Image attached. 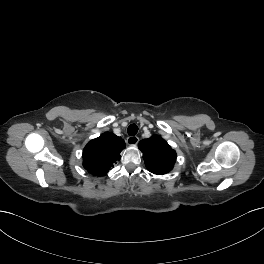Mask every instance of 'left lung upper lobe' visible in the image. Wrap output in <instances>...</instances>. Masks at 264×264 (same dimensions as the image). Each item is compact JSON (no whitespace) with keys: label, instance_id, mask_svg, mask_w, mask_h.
Masks as SVG:
<instances>
[{"label":"left lung upper lobe","instance_id":"1","mask_svg":"<svg viewBox=\"0 0 264 264\" xmlns=\"http://www.w3.org/2000/svg\"><path fill=\"white\" fill-rule=\"evenodd\" d=\"M147 169L154 174H166L176 161V152L158 135L139 142Z\"/></svg>","mask_w":264,"mask_h":264}]
</instances>
